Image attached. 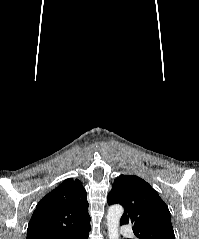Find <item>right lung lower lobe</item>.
<instances>
[{"instance_id":"98d812e1","label":"right lung lower lobe","mask_w":199,"mask_h":239,"mask_svg":"<svg viewBox=\"0 0 199 239\" xmlns=\"http://www.w3.org/2000/svg\"><path fill=\"white\" fill-rule=\"evenodd\" d=\"M90 230H91V227L89 225L73 233L72 235L66 236L62 239H88Z\"/></svg>"}]
</instances>
